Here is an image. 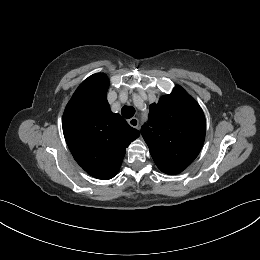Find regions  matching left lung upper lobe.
I'll return each mask as SVG.
<instances>
[{
    "mask_svg": "<svg viewBox=\"0 0 260 260\" xmlns=\"http://www.w3.org/2000/svg\"><path fill=\"white\" fill-rule=\"evenodd\" d=\"M150 126L141 134L157 167L175 175L198 156L205 139V116L198 103L180 86L150 105Z\"/></svg>",
    "mask_w": 260,
    "mask_h": 260,
    "instance_id": "1",
    "label": "left lung upper lobe"
}]
</instances>
